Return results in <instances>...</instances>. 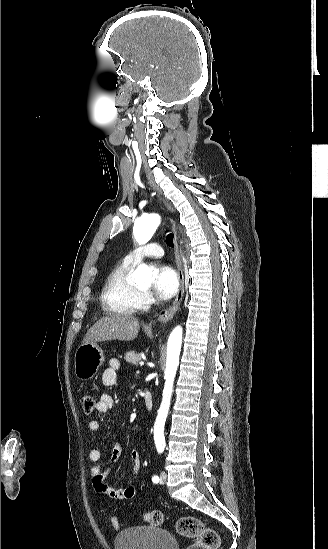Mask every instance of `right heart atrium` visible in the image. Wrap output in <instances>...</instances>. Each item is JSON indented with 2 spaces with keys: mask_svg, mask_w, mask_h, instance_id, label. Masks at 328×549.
Segmentation results:
<instances>
[{
  "mask_svg": "<svg viewBox=\"0 0 328 549\" xmlns=\"http://www.w3.org/2000/svg\"><path fill=\"white\" fill-rule=\"evenodd\" d=\"M145 300H146L147 302H150V301H151V297H150L149 294H146V295H145Z\"/></svg>",
  "mask_w": 328,
  "mask_h": 549,
  "instance_id": "right-heart-atrium-1",
  "label": "right heart atrium"
}]
</instances>
